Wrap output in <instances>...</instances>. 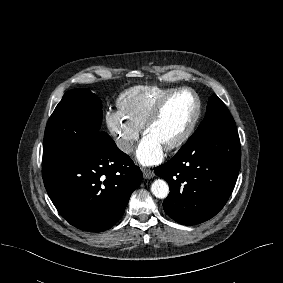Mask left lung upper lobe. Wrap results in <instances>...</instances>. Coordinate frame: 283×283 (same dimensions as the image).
Wrapping results in <instances>:
<instances>
[{
	"mask_svg": "<svg viewBox=\"0 0 283 283\" xmlns=\"http://www.w3.org/2000/svg\"><path fill=\"white\" fill-rule=\"evenodd\" d=\"M229 129H236L235 121L224 103L216 94H213L209 98L205 118L189 140L205 134Z\"/></svg>",
	"mask_w": 283,
	"mask_h": 283,
	"instance_id": "5c2ea615",
	"label": "left lung upper lobe"
}]
</instances>
